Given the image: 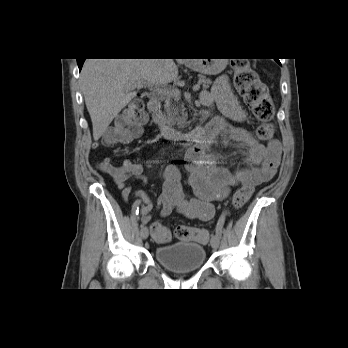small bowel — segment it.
I'll return each instance as SVG.
<instances>
[{"instance_id":"c3829d8e","label":"small bowel","mask_w":348,"mask_h":348,"mask_svg":"<svg viewBox=\"0 0 348 348\" xmlns=\"http://www.w3.org/2000/svg\"><path fill=\"white\" fill-rule=\"evenodd\" d=\"M201 103L206 107L217 104L223 114L209 122L216 135L224 136L228 141L242 145L245 155L241 167L232 171L218 164V156L206 152L204 147L192 146L188 149L189 182L197 198H187L181 188V174L176 166H169L156 209L162 217L169 216L174 210L189 219L207 221L214 216V202L228 197L232 187L237 185L255 186L269 181L276 173L280 163L281 143L273 139L265 146L256 141L245 129L234 126L230 121L243 122L246 112L233 94L227 76H220L214 83L212 91L200 93ZM98 170L110 176L121 191L124 201L135 198L132 205L134 213L140 215L144 224L150 222L155 209L145 191L133 189L128 183L133 180L147 183L143 167L129 159H124L120 166H114L104 160L97 166Z\"/></svg>"}]
</instances>
